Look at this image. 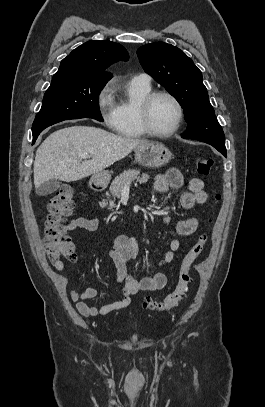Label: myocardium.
<instances>
[{"label":"myocardium","instance_id":"obj_1","mask_svg":"<svg viewBox=\"0 0 265 407\" xmlns=\"http://www.w3.org/2000/svg\"><path fill=\"white\" fill-rule=\"evenodd\" d=\"M160 96H166V97L170 98L174 102V104L176 105L177 110H178V117H177L175 125L170 130L165 131V132H159V131L154 130L150 123L151 106H152L154 100ZM183 119H184V107H183L181 101L173 93L166 91V90H158V91L151 92L142 100V102L140 103V105L138 107V121H139L140 127L142 128V130L145 132L146 135H149L151 137L167 138V137L172 136L181 127Z\"/></svg>","mask_w":265,"mask_h":407}]
</instances>
